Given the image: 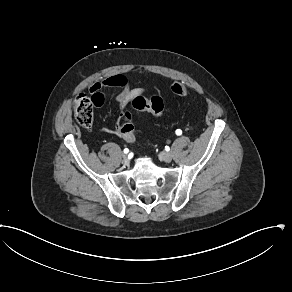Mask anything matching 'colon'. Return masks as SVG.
<instances>
[{
  "label": "colon",
  "mask_w": 292,
  "mask_h": 292,
  "mask_svg": "<svg viewBox=\"0 0 292 292\" xmlns=\"http://www.w3.org/2000/svg\"><path fill=\"white\" fill-rule=\"evenodd\" d=\"M170 85L176 94L184 93L186 96L191 94L189 89L184 91L175 80H172ZM102 103L103 95L100 92H95L91 96L80 94L73 103V116L75 120L83 127H91L94 118L93 111L96 107L101 106ZM133 108L137 111H146L153 116L160 117L164 111V102L159 96H153L148 99L139 96L133 101ZM125 118L126 121L120 124V131L123 133L126 142H133L135 137L133 134L132 113L127 112Z\"/></svg>",
  "instance_id": "5ec220e1"
}]
</instances>
